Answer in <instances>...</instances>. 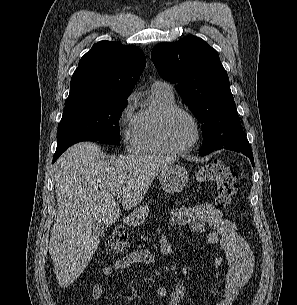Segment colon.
I'll list each match as a JSON object with an SVG mask.
<instances>
[{
    "instance_id": "colon-1",
    "label": "colon",
    "mask_w": 297,
    "mask_h": 305,
    "mask_svg": "<svg viewBox=\"0 0 297 305\" xmlns=\"http://www.w3.org/2000/svg\"><path fill=\"white\" fill-rule=\"evenodd\" d=\"M197 180L215 185L217 207L224 209L232 204L237 189V174L230 166L221 161L212 162L197 172ZM107 248L115 253L127 250L128 237L125 230H113L107 239Z\"/></svg>"
}]
</instances>
